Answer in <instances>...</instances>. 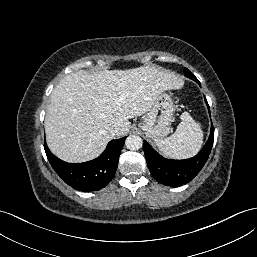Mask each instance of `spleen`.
I'll use <instances>...</instances> for the list:
<instances>
[{
    "label": "spleen",
    "mask_w": 257,
    "mask_h": 257,
    "mask_svg": "<svg viewBox=\"0 0 257 257\" xmlns=\"http://www.w3.org/2000/svg\"><path fill=\"white\" fill-rule=\"evenodd\" d=\"M203 143V131L188 112L181 115V122L174 134L166 139H156L158 149L167 157L188 158L194 156Z\"/></svg>",
    "instance_id": "3e777b00"
}]
</instances>
